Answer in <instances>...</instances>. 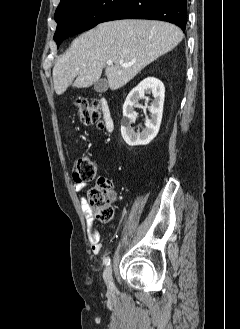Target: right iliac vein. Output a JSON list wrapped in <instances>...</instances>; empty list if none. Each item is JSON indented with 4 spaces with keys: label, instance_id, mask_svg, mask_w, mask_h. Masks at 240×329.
Segmentation results:
<instances>
[{
    "label": "right iliac vein",
    "instance_id": "1",
    "mask_svg": "<svg viewBox=\"0 0 240 329\" xmlns=\"http://www.w3.org/2000/svg\"><path fill=\"white\" fill-rule=\"evenodd\" d=\"M104 281L108 290L112 291L114 289V282L112 277V268L111 266L106 267L104 274H103Z\"/></svg>",
    "mask_w": 240,
    "mask_h": 329
}]
</instances>
